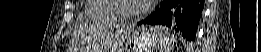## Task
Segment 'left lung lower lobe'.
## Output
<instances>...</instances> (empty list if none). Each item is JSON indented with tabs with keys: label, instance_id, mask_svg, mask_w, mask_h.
<instances>
[{
	"label": "left lung lower lobe",
	"instance_id": "left-lung-lower-lobe-1",
	"mask_svg": "<svg viewBox=\"0 0 261 52\" xmlns=\"http://www.w3.org/2000/svg\"><path fill=\"white\" fill-rule=\"evenodd\" d=\"M203 9L204 0H163L151 15L137 24L172 27L184 39L192 41L195 39Z\"/></svg>",
	"mask_w": 261,
	"mask_h": 52
}]
</instances>
